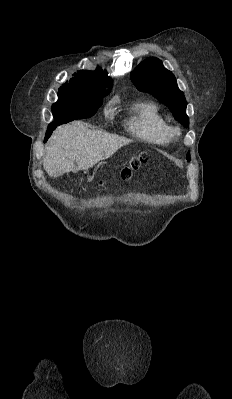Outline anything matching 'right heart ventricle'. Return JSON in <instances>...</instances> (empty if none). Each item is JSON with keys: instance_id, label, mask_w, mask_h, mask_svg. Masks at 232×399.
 Wrapping results in <instances>:
<instances>
[{"instance_id": "right-heart-ventricle-1", "label": "right heart ventricle", "mask_w": 232, "mask_h": 399, "mask_svg": "<svg viewBox=\"0 0 232 399\" xmlns=\"http://www.w3.org/2000/svg\"><path fill=\"white\" fill-rule=\"evenodd\" d=\"M124 129L134 138L151 144L167 145L172 139L168 121L160 107L153 102L135 104Z\"/></svg>"}]
</instances>
